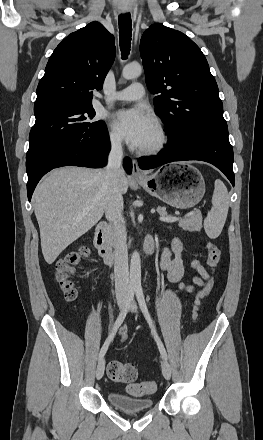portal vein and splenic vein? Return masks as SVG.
Returning a JSON list of instances; mask_svg holds the SVG:
<instances>
[{
  "label": "portal vein and splenic vein",
  "mask_w": 263,
  "mask_h": 440,
  "mask_svg": "<svg viewBox=\"0 0 263 440\" xmlns=\"http://www.w3.org/2000/svg\"><path fill=\"white\" fill-rule=\"evenodd\" d=\"M180 218L179 217H177V216H164V215H161V217H160V220L161 221H163V222H167V223H171V222H176V221H178Z\"/></svg>",
  "instance_id": "portal-vein-and-splenic-vein-1"
}]
</instances>
